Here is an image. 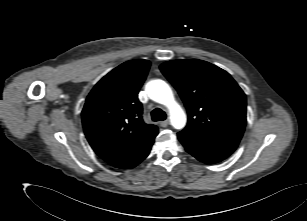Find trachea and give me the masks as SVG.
<instances>
[{
  "instance_id": "trachea-1",
  "label": "trachea",
  "mask_w": 307,
  "mask_h": 221,
  "mask_svg": "<svg viewBox=\"0 0 307 221\" xmlns=\"http://www.w3.org/2000/svg\"><path fill=\"white\" fill-rule=\"evenodd\" d=\"M153 121H163L166 119V113L160 108H156L151 112Z\"/></svg>"
}]
</instances>
